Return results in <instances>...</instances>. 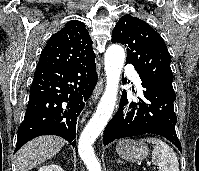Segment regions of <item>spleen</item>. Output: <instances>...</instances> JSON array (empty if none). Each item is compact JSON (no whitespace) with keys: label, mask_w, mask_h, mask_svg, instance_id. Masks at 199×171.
<instances>
[{"label":"spleen","mask_w":199,"mask_h":171,"mask_svg":"<svg viewBox=\"0 0 199 171\" xmlns=\"http://www.w3.org/2000/svg\"><path fill=\"white\" fill-rule=\"evenodd\" d=\"M144 140L154 145L152 162L159 166L161 171H179L177 156L168 144L159 138H148ZM141 142H143V139Z\"/></svg>","instance_id":"spleen-1"}]
</instances>
